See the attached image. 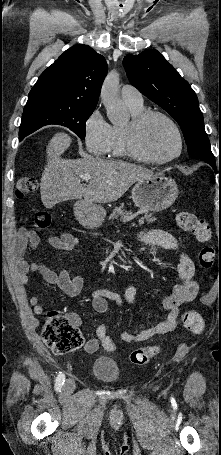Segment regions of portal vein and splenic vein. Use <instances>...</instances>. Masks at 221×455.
<instances>
[{"mask_svg": "<svg viewBox=\"0 0 221 455\" xmlns=\"http://www.w3.org/2000/svg\"><path fill=\"white\" fill-rule=\"evenodd\" d=\"M80 178H82L83 180H90L91 179V175L90 174H84V175H81Z\"/></svg>", "mask_w": 221, "mask_h": 455, "instance_id": "obj_1", "label": "portal vein and splenic vein"}]
</instances>
